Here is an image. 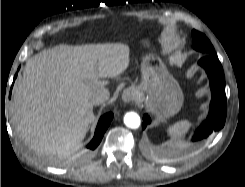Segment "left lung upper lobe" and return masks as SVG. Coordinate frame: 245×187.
<instances>
[{"instance_id": "left-lung-upper-lobe-1", "label": "left lung upper lobe", "mask_w": 245, "mask_h": 187, "mask_svg": "<svg viewBox=\"0 0 245 187\" xmlns=\"http://www.w3.org/2000/svg\"><path fill=\"white\" fill-rule=\"evenodd\" d=\"M192 38H193V48L195 50L201 51L206 55L214 53L215 50L213 45L204 34L196 30H193Z\"/></svg>"}]
</instances>
